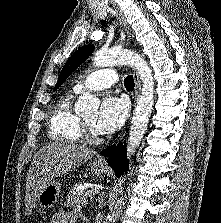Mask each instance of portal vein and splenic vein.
Returning <instances> with one entry per match:
<instances>
[{"label": "portal vein and splenic vein", "mask_w": 221, "mask_h": 223, "mask_svg": "<svg viewBox=\"0 0 221 223\" xmlns=\"http://www.w3.org/2000/svg\"><path fill=\"white\" fill-rule=\"evenodd\" d=\"M94 193H96V191H94V190H89V191L87 192L88 195H94Z\"/></svg>", "instance_id": "portal-vein-and-splenic-vein-1"}]
</instances>
